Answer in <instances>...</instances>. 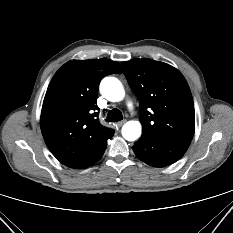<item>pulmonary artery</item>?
<instances>
[{"label":"pulmonary artery","instance_id":"1","mask_svg":"<svg viewBox=\"0 0 233 233\" xmlns=\"http://www.w3.org/2000/svg\"><path fill=\"white\" fill-rule=\"evenodd\" d=\"M127 108H128L129 110H133V104H132L131 101H128V102H127Z\"/></svg>","mask_w":233,"mask_h":233}]
</instances>
